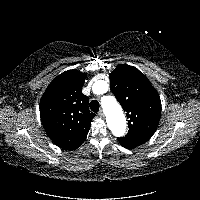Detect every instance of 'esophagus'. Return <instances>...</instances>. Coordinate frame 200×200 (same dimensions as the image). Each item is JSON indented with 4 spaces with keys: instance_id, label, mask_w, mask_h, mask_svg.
<instances>
[{
    "instance_id": "34e87169",
    "label": "esophagus",
    "mask_w": 200,
    "mask_h": 200,
    "mask_svg": "<svg viewBox=\"0 0 200 200\" xmlns=\"http://www.w3.org/2000/svg\"><path fill=\"white\" fill-rule=\"evenodd\" d=\"M98 115H99L101 118H103V117H104V113H103V111L100 110V111L98 112Z\"/></svg>"
}]
</instances>
